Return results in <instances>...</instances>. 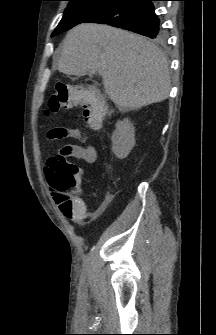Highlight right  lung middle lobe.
Wrapping results in <instances>:
<instances>
[{
	"mask_svg": "<svg viewBox=\"0 0 216 335\" xmlns=\"http://www.w3.org/2000/svg\"><path fill=\"white\" fill-rule=\"evenodd\" d=\"M68 7L65 9L63 18L52 33V36L60 34L77 24L86 22L94 15L111 5L116 0H67ZM156 41L164 39V34L158 35Z\"/></svg>",
	"mask_w": 216,
	"mask_h": 335,
	"instance_id": "dd1d6c3e",
	"label": "right lung middle lobe"
}]
</instances>
